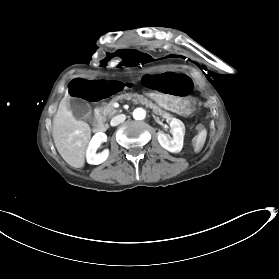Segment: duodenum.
I'll return each instance as SVG.
<instances>
[{
	"label": "duodenum",
	"instance_id": "1",
	"mask_svg": "<svg viewBox=\"0 0 279 279\" xmlns=\"http://www.w3.org/2000/svg\"><path fill=\"white\" fill-rule=\"evenodd\" d=\"M145 96H146L147 98H150V97L152 96V93H151L150 91H147V92L145 93ZM97 119H98L99 124H98V126H95V127L93 128V131H94L95 133L102 132V131L104 130V128H105V124H104L105 119H104V114H103L102 112H99V113L97 114Z\"/></svg>",
	"mask_w": 279,
	"mask_h": 279
}]
</instances>
